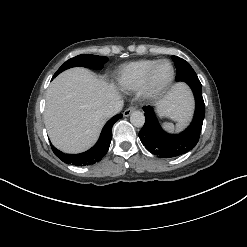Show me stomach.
<instances>
[{
	"mask_svg": "<svg viewBox=\"0 0 247 247\" xmlns=\"http://www.w3.org/2000/svg\"><path fill=\"white\" fill-rule=\"evenodd\" d=\"M159 114H160V116H162V117H168V114H167V112H165V111H161V110H160Z\"/></svg>",
	"mask_w": 247,
	"mask_h": 247,
	"instance_id": "0dacf381",
	"label": "stomach"
}]
</instances>
